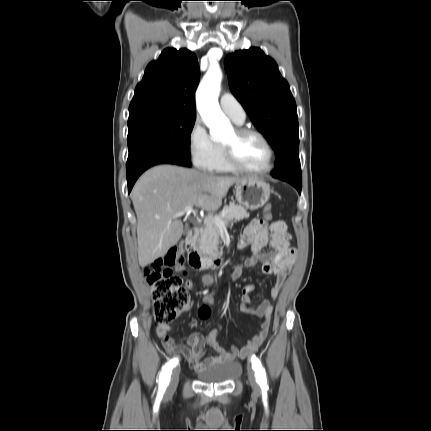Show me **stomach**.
<instances>
[{"mask_svg":"<svg viewBox=\"0 0 431 431\" xmlns=\"http://www.w3.org/2000/svg\"><path fill=\"white\" fill-rule=\"evenodd\" d=\"M236 200L244 207L257 210L263 207L270 197V186L257 177H246L236 183Z\"/></svg>","mask_w":431,"mask_h":431,"instance_id":"obj_1","label":"stomach"}]
</instances>
